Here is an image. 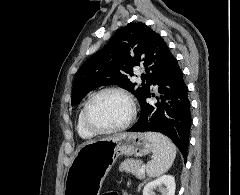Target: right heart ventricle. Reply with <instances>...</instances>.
<instances>
[{
    "instance_id": "obj_1",
    "label": "right heart ventricle",
    "mask_w": 240,
    "mask_h": 195,
    "mask_svg": "<svg viewBox=\"0 0 240 195\" xmlns=\"http://www.w3.org/2000/svg\"><path fill=\"white\" fill-rule=\"evenodd\" d=\"M83 109L84 106L80 109L79 115H78V123H77V129L80 134V136L84 139H90L94 136L93 133H91L84 125L83 122Z\"/></svg>"
}]
</instances>
